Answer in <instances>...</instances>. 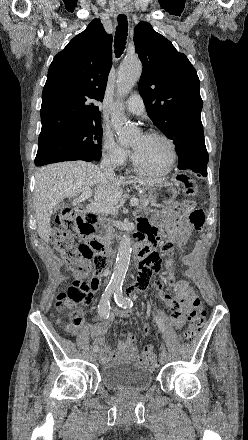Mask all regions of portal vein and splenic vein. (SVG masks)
<instances>
[{
    "instance_id": "18ae733b",
    "label": "portal vein and splenic vein",
    "mask_w": 248,
    "mask_h": 440,
    "mask_svg": "<svg viewBox=\"0 0 248 440\" xmlns=\"http://www.w3.org/2000/svg\"><path fill=\"white\" fill-rule=\"evenodd\" d=\"M91 196V190L90 189H85L82 193V195H80V197L76 200L73 201V205H77L79 203H81L82 201H85L86 199H88ZM139 204V200L136 198H132L130 200V205L131 206H138ZM87 209L90 211H96V212H101V213H108V214H112L115 215L118 213L117 209L110 205V204H104V203H98V202H94L91 203L90 205L87 206Z\"/></svg>"
}]
</instances>
